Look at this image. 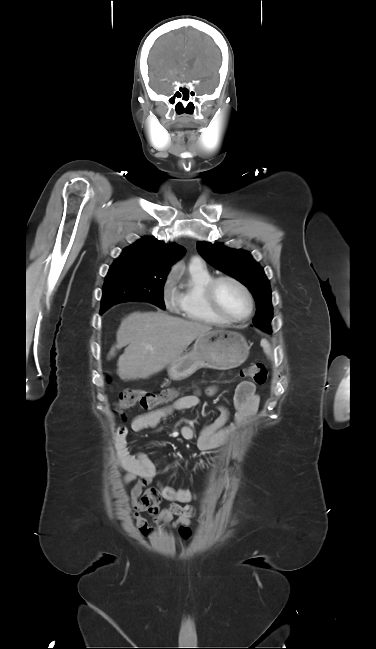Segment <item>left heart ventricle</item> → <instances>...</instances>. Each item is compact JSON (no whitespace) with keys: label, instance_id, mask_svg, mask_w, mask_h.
<instances>
[{"label":"left heart ventricle","instance_id":"left-heart-ventricle-1","mask_svg":"<svg viewBox=\"0 0 376 649\" xmlns=\"http://www.w3.org/2000/svg\"><path fill=\"white\" fill-rule=\"evenodd\" d=\"M217 295L223 309L231 317L242 318L247 314L249 309L247 298L234 283L221 282L217 289Z\"/></svg>","mask_w":376,"mask_h":649}]
</instances>
